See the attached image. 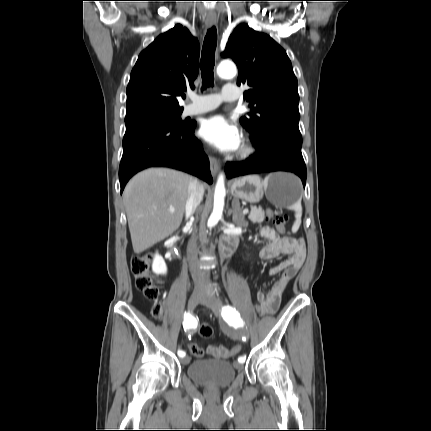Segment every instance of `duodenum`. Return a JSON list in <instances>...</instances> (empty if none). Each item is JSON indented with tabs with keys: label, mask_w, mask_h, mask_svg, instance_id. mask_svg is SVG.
I'll return each instance as SVG.
<instances>
[{
	"label": "duodenum",
	"mask_w": 431,
	"mask_h": 431,
	"mask_svg": "<svg viewBox=\"0 0 431 431\" xmlns=\"http://www.w3.org/2000/svg\"><path fill=\"white\" fill-rule=\"evenodd\" d=\"M236 244H237V241L235 239H232V238L225 239L221 247L222 253L224 255H230L234 250Z\"/></svg>",
	"instance_id": "obj_1"
}]
</instances>
